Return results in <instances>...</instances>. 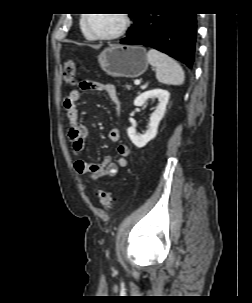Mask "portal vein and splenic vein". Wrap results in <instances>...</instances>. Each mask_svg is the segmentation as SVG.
<instances>
[{"label": "portal vein and splenic vein", "mask_w": 252, "mask_h": 303, "mask_svg": "<svg viewBox=\"0 0 252 303\" xmlns=\"http://www.w3.org/2000/svg\"><path fill=\"white\" fill-rule=\"evenodd\" d=\"M140 82H141L140 80H135V81H134V84H135V85H139Z\"/></svg>", "instance_id": "1"}]
</instances>
